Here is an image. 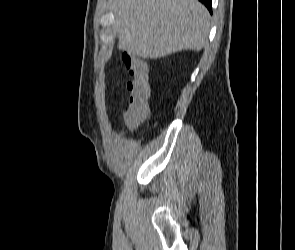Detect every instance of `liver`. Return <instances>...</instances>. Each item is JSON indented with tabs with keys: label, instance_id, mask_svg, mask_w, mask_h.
Instances as JSON below:
<instances>
[{
	"label": "liver",
	"instance_id": "liver-1",
	"mask_svg": "<svg viewBox=\"0 0 295 250\" xmlns=\"http://www.w3.org/2000/svg\"><path fill=\"white\" fill-rule=\"evenodd\" d=\"M112 11L119 48L144 59L199 51L207 42L210 15L198 0H113Z\"/></svg>",
	"mask_w": 295,
	"mask_h": 250
}]
</instances>
